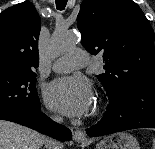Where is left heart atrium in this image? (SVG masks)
Returning a JSON list of instances; mask_svg holds the SVG:
<instances>
[{
    "instance_id": "1",
    "label": "left heart atrium",
    "mask_w": 155,
    "mask_h": 149,
    "mask_svg": "<svg viewBox=\"0 0 155 149\" xmlns=\"http://www.w3.org/2000/svg\"><path fill=\"white\" fill-rule=\"evenodd\" d=\"M44 98L50 109L70 117L87 113L94 102L89 82L77 76L54 80L46 87Z\"/></svg>"
}]
</instances>
